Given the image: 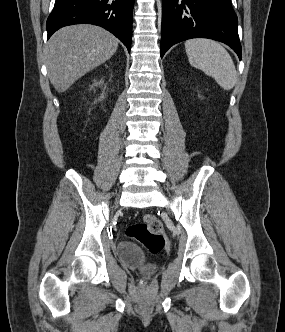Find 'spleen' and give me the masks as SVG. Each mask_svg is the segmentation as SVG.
I'll return each mask as SVG.
<instances>
[{
	"mask_svg": "<svg viewBox=\"0 0 285 332\" xmlns=\"http://www.w3.org/2000/svg\"><path fill=\"white\" fill-rule=\"evenodd\" d=\"M185 50L190 64L214 78L224 90H230L235 86V65L220 43L210 39H190L185 42Z\"/></svg>",
	"mask_w": 285,
	"mask_h": 332,
	"instance_id": "1",
	"label": "spleen"
}]
</instances>
